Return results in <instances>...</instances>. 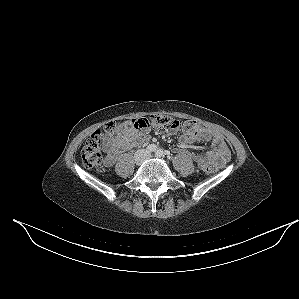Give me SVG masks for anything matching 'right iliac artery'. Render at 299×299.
<instances>
[{"label":"right iliac artery","mask_w":299,"mask_h":299,"mask_svg":"<svg viewBox=\"0 0 299 299\" xmlns=\"http://www.w3.org/2000/svg\"><path fill=\"white\" fill-rule=\"evenodd\" d=\"M147 150L149 152H155L157 150V146L155 144H150L148 147H147Z\"/></svg>","instance_id":"right-iliac-artery-1"}]
</instances>
